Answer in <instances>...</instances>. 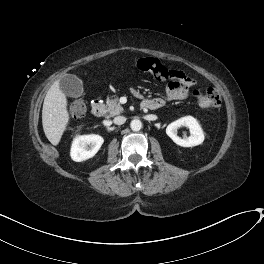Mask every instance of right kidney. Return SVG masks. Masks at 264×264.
<instances>
[{
  "mask_svg": "<svg viewBox=\"0 0 264 264\" xmlns=\"http://www.w3.org/2000/svg\"><path fill=\"white\" fill-rule=\"evenodd\" d=\"M103 142V138L96 134L76 136L71 146V158L76 162L92 158L98 152Z\"/></svg>",
  "mask_w": 264,
  "mask_h": 264,
  "instance_id": "1",
  "label": "right kidney"
}]
</instances>
